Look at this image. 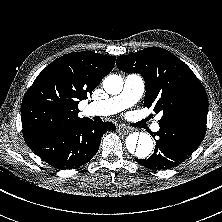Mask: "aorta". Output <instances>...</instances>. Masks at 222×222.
<instances>
[{"label":"aorta","instance_id":"1","mask_svg":"<svg viewBox=\"0 0 222 222\" xmlns=\"http://www.w3.org/2000/svg\"><path fill=\"white\" fill-rule=\"evenodd\" d=\"M103 88L108 94L117 95L123 89V79L118 75H109L104 79ZM153 146V140L147 133H132L126 139L128 153L139 159L147 158Z\"/></svg>","mask_w":222,"mask_h":222}]
</instances>
